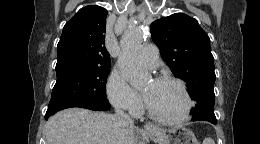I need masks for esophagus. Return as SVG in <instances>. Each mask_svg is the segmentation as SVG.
<instances>
[{
  "mask_svg": "<svg viewBox=\"0 0 260 144\" xmlns=\"http://www.w3.org/2000/svg\"><path fill=\"white\" fill-rule=\"evenodd\" d=\"M154 129V127L152 126V125H150V124H146L145 125V130L146 131H151V130H153Z\"/></svg>",
  "mask_w": 260,
  "mask_h": 144,
  "instance_id": "34e87169",
  "label": "esophagus"
}]
</instances>
